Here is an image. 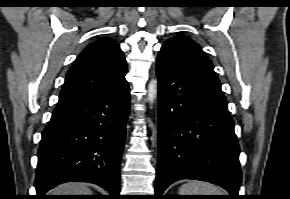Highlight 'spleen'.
Instances as JSON below:
<instances>
[{"mask_svg": "<svg viewBox=\"0 0 290 199\" xmlns=\"http://www.w3.org/2000/svg\"><path fill=\"white\" fill-rule=\"evenodd\" d=\"M179 195H225L224 191L208 182L190 181L182 185Z\"/></svg>", "mask_w": 290, "mask_h": 199, "instance_id": "obj_1", "label": "spleen"}]
</instances>
